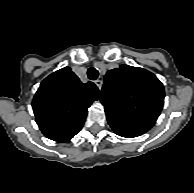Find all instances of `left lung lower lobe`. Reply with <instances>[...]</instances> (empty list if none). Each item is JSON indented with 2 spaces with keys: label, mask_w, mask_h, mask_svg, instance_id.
Instances as JSON below:
<instances>
[{
  "label": "left lung lower lobe",
  "mask_w": 194,
  "mask_h": 193,
  "mask_svg": "<svg viewBox=\"0 0 194 193\" xmlns=\"http://www.w3.org/2000/svg\"><path fill=\"white\" fill-rule=\"evenodd\" d=\"M109 125L114 132L122 137L133 138L140 136L149 130L148 127L129 120L122 119L113 114L106 113Z\"/></svg>",
  "instance_id": "obj_1"
}]
</instances>
